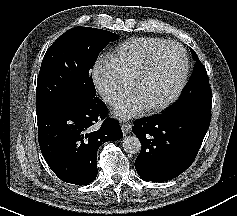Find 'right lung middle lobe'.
Segmentation results:
<instances>
[{
  "label": "right lung middle lobe",
  "mask_w": 237,
  "mask_h": 216,
  "mask_svg": "<svg viewBox=\"0 0 237 216\" xmlns=\"http://www.w3.org/2000/svg\"><path fill=\"white\" fill-rule=\"evenodd\" d=\"M117 34L75 27L62 34L46 51L36 87V114L68 99L93 98L96 90L90 69L99 53Z\"/></svg>",
  "instance_id": "dd1d6c3e"
}]
</instances>
